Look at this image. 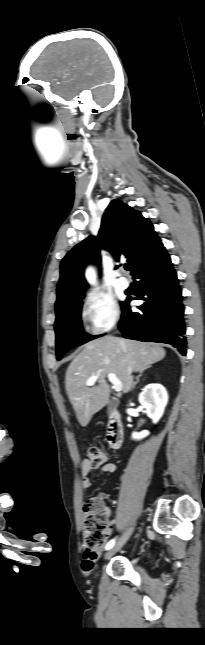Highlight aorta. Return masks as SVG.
I'll return each instance as SVG.
<instances>
[{
  "label": "aorta",
  "instance_id": "762f6f07",
  "mask_svg": "<svg viewBox=\"0 0 205 645\" xmlns=\"http://www.w3.org/2000/svg\"><path fill=\"white\" fill-rule=\"evenodd\" d=\"M87 278H88V280H89L91 283H94L95 275H94L93 270H91V269H89V270H88V272H87Z\"/></svg>",
  "mask_w": 205,
  "mask_h": 645
}]
</instances>
